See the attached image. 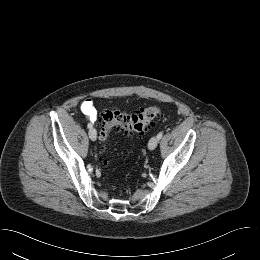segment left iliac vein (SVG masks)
<instances>
[{"label": "left iliac vein", "instance_id": "4c4485c4", "mask_svg": "<svg viewBox=\"0 0 260 260\" xmlns=\"http://www.w3.org/2000/svg\"><path fill=\"white\" fill-rule=\"evenodd\" d=\"M158 142H159V140H158L157 136L152 137V138L149 140L148 148H149L150 150L155 149V148L157 147V145H158Z\"/></svg>", "mask_w": 260, "mask_h": 260}]
</instances>
